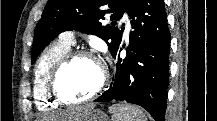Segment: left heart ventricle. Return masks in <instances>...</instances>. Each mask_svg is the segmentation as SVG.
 <instances>
[{"mask_svg": "<svg viewBox=\"0 0 217 121\" xmlns=\"http://www.w3.org/2000/svg\"><path fill=\"white\" fill-rule=\"evenodd\" d=\"M102 71L99 64L89 58L77 59L59 77V90L67 98L82 99L99 85Z\"/></svg>", "mask_w": 217, "mask_h": 121, "instance_id": "left-heart-ventricle-1", "label": "left heart ventricle"}]
</instances>
